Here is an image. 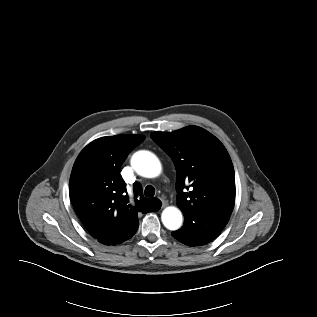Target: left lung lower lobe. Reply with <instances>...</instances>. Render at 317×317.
Returning <instances> with one entry per match:
<instances>
[{"label": "left lung lower lobe", "instance_id": "1", "mask_svg": "<svg viewBox=\"0 0 317 317\" xmlns=\"http://www.w3.org/2000/svg\"><path fill=\"white\" fill-rule=\"evenodd\" d=\"M229 216L214 212H198L185 216L181 229L172 235L188 246H202L214 240L226 226Z\"/></svg>", "mask_w": 317, "mask_h": 317}]
</instances>
